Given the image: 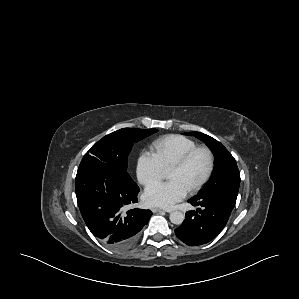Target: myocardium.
Segmentation results:
<instances>
[{
  "instance_id": "f54148a6",
  "label": "myocardium",
  "mask_w": 299,
  "mask_h": 299,
  "mask_svg": "<svg viewBox=\"0 0 299 299\" xmlns=\"http://www.w3.org/2000/svg\"><path fill=\"white\" fill-rule=\"evenodd\" d=\"M200 151H204L208 156V168H207L205 175L202 177V179L195 186H193L192 188L187 190V192L190 194H193V193H196L197 191H199L208 182V180L212 176V173H213L214 167H215V158H214V154H213L212 150L207 146H196V147L190 149L189 151H187L168 170V172H170V171L180 170V169L184 168L188 164V162L191 160V158L197 152H200Z\"/></svg>"
}]
</instances>
